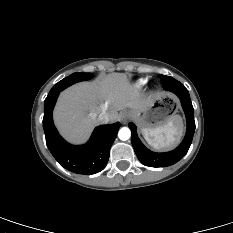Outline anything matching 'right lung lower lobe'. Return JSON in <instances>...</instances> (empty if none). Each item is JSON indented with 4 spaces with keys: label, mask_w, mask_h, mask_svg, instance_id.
Returning a JSON list of instances; mask_svg holds the SVG:
<instances>
[{
    "label": "right lung lower lobe",
    "mask_w": 233,
    "mask_h": 233,
    "mask_svg": "<svg viewBox=\"0 0 233 233\" xmlns=\"http://www.w3.org/2000/svg\"><path fill=\"white\" fill-rule=\"evenodd\" d=\"M58 95L59 92H56L47 96L44 103L43 128L48 149L60 165L69 171L86 175L102 171L107 165L120 123L98 126L85 145H71L59 135L53 123L52 111Z\"/></svg>",
    "instance_id": "right-lung-lower-lobe-1"
}]
</instances>
